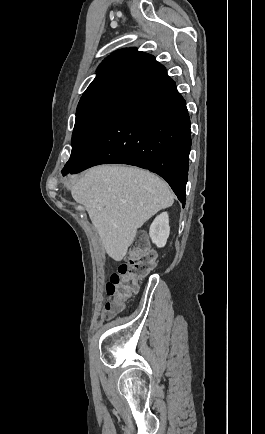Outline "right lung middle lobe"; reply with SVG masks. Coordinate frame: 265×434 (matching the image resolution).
<instances>
[{
  "mask_svg": "<svg viewBox=\"0 0 265 434\" xmlns=\"http://www.w3.org/2000/svg\"><path fill=\"white\" fill-rule=\"evenodd\" d=\"M133 77L120 74L89 85L77 106L72 152L63 170L75 166L82 159Z\"/></svg>",
  "mask_w": 265,
  "mask_h": 434,
  "instance_id": "obj_1",
  "label": "right lung middle lobe"
}]
</instances>
